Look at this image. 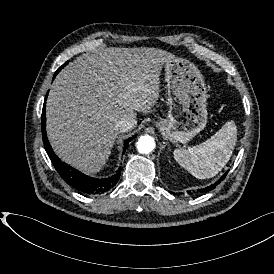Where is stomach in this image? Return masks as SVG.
Segmentation results:
<instances>
[{"instance_id": "stomach-1", "label": "stomach", "mask_w": 274, "mask_h": 274, "mask_svg": "<svg viewBox=\"0 0 274 274\" xmlns=\"http://www.w3.org/2000/svg\"><path fill=\"white\" fill-rule=\"evenodd\" d=\"M168 116L154 122L161 137L174 145L187 144L208 123L207 91L197 67L184 59L166 63Z\"/></svg>"}]
</instances>
